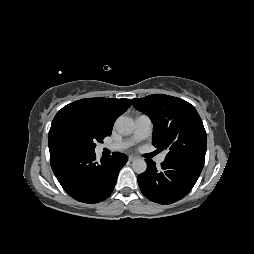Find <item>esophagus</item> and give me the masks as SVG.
I'll list each match as a JSON object with an SVG mask.
<instances>
[{"mask_svg": "<svg viewBox=\"0 0 254 254\" xmlns=\"http://www.w3.org/2000/svg\"><path fill=\"white\" fill-rule=\"evenodd\" d=\"M137 158V156H135V155H129L128 156V160L129 161H133V160H135Z\"/></svg>", "mask_w": 254, "mask_h": 254, "instance_id": "obj_1", "label": "esophagus"}]
</instances>
